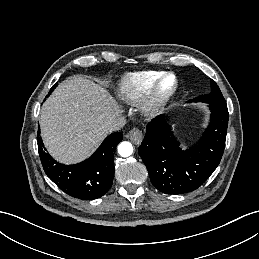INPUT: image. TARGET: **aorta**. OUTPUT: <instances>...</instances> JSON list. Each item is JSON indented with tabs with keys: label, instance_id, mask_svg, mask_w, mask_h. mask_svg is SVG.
Instances as JSON below:
<instances>
[{
	"label": "aorta",
	"instance_id": "obj_1",
	"mask_svg": "<svg viewBox=\"0 0 259 259\" xmlns=\"http://www.w3.org/2000/svg\"><path fill=\"white\" fill-rule=\"evenodd\" d=\"M118 153L122 157H129L133 153V146L130 142L124 141L118 145Z\"/></svg>",
	"mask_w": 259,
	"mask_h": 259
}]
</instances>
